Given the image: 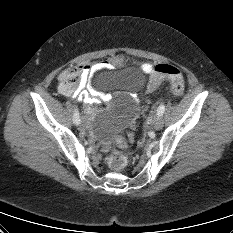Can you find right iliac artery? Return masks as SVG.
<instances>
[{
  "instance_id": "obj_1",
  "label": "right iliac artery",
  "mask_w": 233,
  "mask_h": 233,
  "mask_svg": "<svg viewBox=\"0 0 233 233\" xmlns=\"http://www.w3.org/2000/svg\"><path fill=\"white\" fill-rule=\"evenodd\" d=\"M73 122H74V124H76L77 122H80V117H79V111H78V109L74 110Z\"/></svg>"
}]
</instances>
